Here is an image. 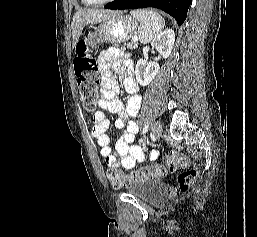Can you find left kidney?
<instances>
[{"instance_id": "5707ae66", "label": "left kidney", "mask_w": 257, "mask_h": 237, "mask_svg": "<svg viewBox=\"0 0 257 237\" xmlns=\"http://www.w3.org/2000/svg\"><path fill=\"white\" fill-rule=\"evenodd\" d=\"M175 42V33L172 29L161 32L153 41L151 46L155 48L163 58H168ZM159 64L145 59H140L135 68V76L142 86L149 85L159 71Z\"/></svg>"}]
</instances>
